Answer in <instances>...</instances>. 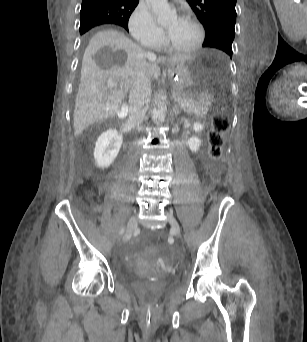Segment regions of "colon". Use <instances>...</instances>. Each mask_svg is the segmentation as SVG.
Instances as JSON below:
<instances>
[{
  "instance_id": "5ec220e1",
  "label": "colon",
  "mask_w": 307,
  "mask_h": 342,
  "mask_svg": "<svg viewBox=\"0 0 307 342\" xmlns=\"http://www.w3.org/2000/svg\"><path fill=\"white\" fill-rule=\"evenodd\" d=\"M229 129L228 118L222 114H216L213 118V127L208 134L209 147L208 157L211 161H217L222 154V148L224 145V135ZM211 171L215 173L216 167L211 166ZM161 246H149L148 256L157 257L158 253L162 252Z\"/></svg>"
}]
</instances>
